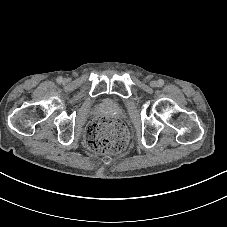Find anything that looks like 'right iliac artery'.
I'll list each match as a JSON object with an SVG mask.
<instances>
[{"mask_svg":"<svg viewBox=\"0 0 227 227\" xmlns=\"http://www.w3.org/2000/svg\"><path fill=\"white\" fill-rule=\"evenodd\" d=\"M56 81H57V83H61V82L63 81V78H62V77H58V78L56 79Z\"/></svg>","mask_w":227,"mask_h":227,"instance_id":"1","label":"right iliac artery"}]
</instances>
